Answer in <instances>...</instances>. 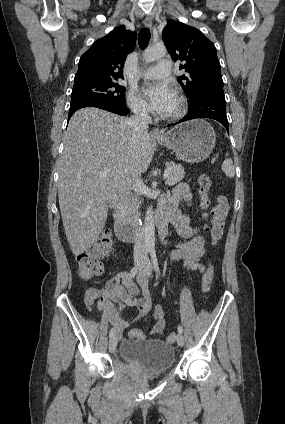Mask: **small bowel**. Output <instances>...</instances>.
Instances as JSON below:
<instances>
[{"label":"small bowel","mask_w":285,"mask_h":424,"mask_svg":"<svg viewBox=\"0 0 285 424\" xmlns=\"http://www.w3.org/2000/svg\"><path fill=\"white\" fill-rule=\"evenodd\" d=\"M185 198L190 204L192 194L186 184L178 185L171 196L163 200V214L168 218L178 234L187 238L185 242L177 244L169 254V259L181 261L182 269L187 273L204 272L201 258L204 255V238L199 233V227L192 224L189 217L181 214L177 210L178 202ZM123 283L124 287L120 285ZM138 286L127 278V273L118 274L108 281L104 288H89L85 293V306L89 311L103 310L109 314L112 324L115 326L118 337L122 332L131 326V322L121 316V307H116L112 299L138 309L139 314L134 322L140 321L144 317L151 316L155 324L151 329L152 334H161L165 328V313L162 306H153L150 300L149 284L146 277L141 273L137 276ZM141 291L142 295L138 294Z\"/></svg>","instance_id":"small-bowel-1"}]
</instances>
